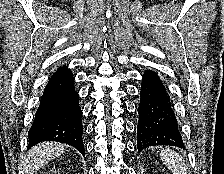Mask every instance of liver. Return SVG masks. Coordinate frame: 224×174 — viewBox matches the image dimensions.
<instances>
[{"label":"liver","instance_id":"obj_1","mask_svg":"<svg viewBox=\"0 0 224 174\" xmlns=\"http://www.w3.org/2000/svg\"><path fill=\"white\" fill-rule=\"evenodd\" d=\"M66 145L58 142H42L32 147L23 163L25 174H33L51 159L61 155Z\"/></svg>","mask_w":224,"mask_h":174}]
</instances>
